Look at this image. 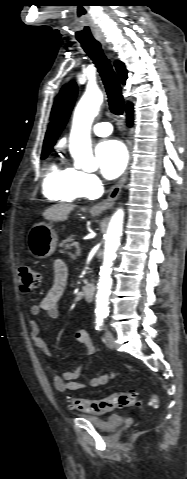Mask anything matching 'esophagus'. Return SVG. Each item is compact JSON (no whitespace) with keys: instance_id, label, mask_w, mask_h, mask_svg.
<instances>
[{"instance_id":"34e87169","label":"esophagus","mask_w":187,"mask_h":479,"mask_svg":"<svg viewBox=\"0 0 187 479\" xmlns=\"http://www.w3.org/2000/svg\"><path fill=\"white\" fill-rule=\"evenodd\" d=\"M100 41L104 46L106 45V42L103 39L100 40ZM127 145H128V152H129V163H128V166H127L124 174L122 175L120 180L114 186H112L108 197L105 200H103L102 202H100L98 204H95L90 208V212L92 214H100L103 211H105L107 209H110L113 206V204L115 203L116 199L118 198V196H119V194H120V192H121V190H122V188H123V186L126 182V179H127V176H128L129 164L131 162L132 144H131L130 139L127 140Z\"/></svg>"}]
</instances>
